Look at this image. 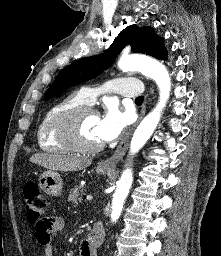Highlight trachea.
<instances>
[{"label": "trachea", "instance_id": "3493384b", "mask_svg": "<svg viewBox=\"0 0 221 256\" xmlns=\"http://www.w3.org/2000/svg\"><path fill=\"white\" fill-rule=\"evenodd\" d=\"M144 96H139L135 99L136 102H143Z\"/></svg>", "mask_w": 221, "mask_h": 256}]
</instances>
